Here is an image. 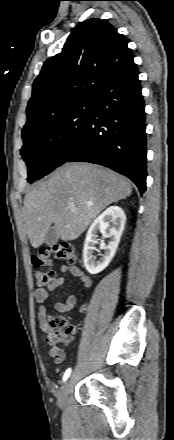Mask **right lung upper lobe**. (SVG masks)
Wrapping results in <instances>:
<instances>
[{"mask_svg":"<svg viewBox=\"0 0 174 440\" xmlns=\"http://www.w3.org/2000/svg\"><path fill=\"white\" fill-rule=\"evenodd\" d=\"M132 62L127 42L107 20L79 23L62 52L48 59L35 79L23 130L91 97L102 82Z\"/></svg>","mask_w":174,"mask_h":440,"instance_id":"1","label":"right lung upper lobe"}]
</instances>
